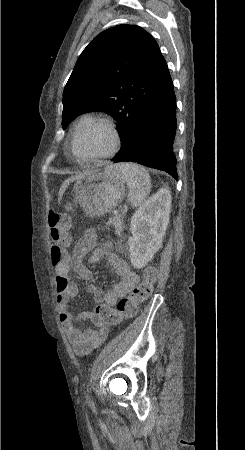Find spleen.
Instances as JSON below:
<instances>
[{
    "mask_svg": "<svg viewBox=\"0 0 245 450\" xmlns=\"http://www.w3.org/2000/svg\"><path fill=\"white\" fill-rule=\"evenodd\" d=\"M118 176L127 183L128 199L133 207H140L148 198L151 179L146 169L134 163H120L114 166Z\"/></svg>",
    "mask_w": 245,
    "mask_h": 450,
    "instance_id": "1",
    "label": "spleen"
}]
</instances>
